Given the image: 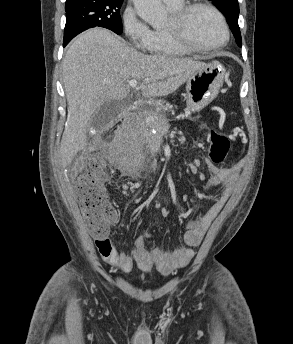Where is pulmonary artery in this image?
Here are the masks:
<instances>
[{
	"label": "pulmonary artery",
	"instance_id": "1",
	"mask_svg": "<svg viewBox=\"0 0 293 344\" xmlns=\"http://www.w3.org/2000/svg\"><path fill=\"white\" fill-rule=\"evenodd\" d=\"M162 1L166 3L167 5H173L180 2L181 0H162Z\"/></svg>",
	"mask_w": 293,
	"mask_h": 344
}]
</instances>
